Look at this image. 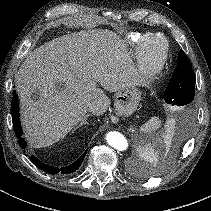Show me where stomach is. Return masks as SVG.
<instances>
[{
	"label": "stomach",
	"instance_id": "obj_1",
	"mask_svg": "<svg viewBox=\"0 0 211 211\" xmlns=\"http://www.w3.org/2000/svg\"><path fill=\"white\" fill-rule=\"evenodd\" d=\"M141 92L134 86L119 90L114 99L116 112L120 116L131 115L138 107Z\"/></svg>",
	"mask_w": 211,
	"mask_h": 211
}]
</instances>
